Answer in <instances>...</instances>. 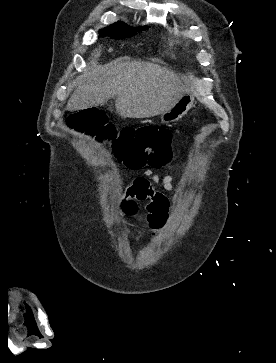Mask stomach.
<instances>
[{
	"instance_id": "1",
	"label": "stomach",
	"mask_w": 276,
	"mask_h": 363,
	"mask_svg": "<svg viewBox=\"0 0 276 363\" xmlns=\"http://www.w3.org/2000/svg\"><path fill=\"white\" fill-rule=\"evenodd\" d=\"M194 97L184 93L167 111L160 114L163 123L175 122L182 118L191 109Z\"/></svg>"
}]
</instances>
